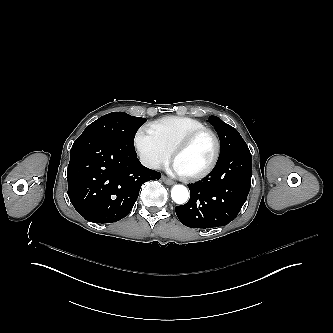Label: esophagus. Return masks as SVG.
I'll use <instances>...</instances> for the list:
<instances>
[{"mask_svg":"<svg viewBox=\"0 0 333 333\" xmlns=\"http://www.w3.org/2000/svg\"><path fill=\"white\" fill-rule=\"evenodd\" d=\"M162 181L167 184V185H173L174 184V181L169 179L167 176L165 175H162L161 177Z\"/></svg>","mask_w":333,"mask_h":333,"instance_id":"34e87169","label":"esophagus"}]
</instances>
